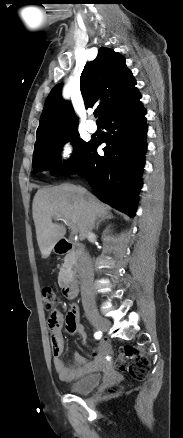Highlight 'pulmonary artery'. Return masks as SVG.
Listing matches in <instances>:
<instances>
[{
	"instance_id": "obj_1",
	"label": "pulmonary artery",
	"mask_w": 183,
	"mask_h": 438,
	"mask_svg": "<svg viewBox=\"0 0 183 438\" xmlns=\"http://www.w3.org/2000/svg\"><path fill=\"white\" fill-rule=\"evenodd\" d=\"M86 129L89 132L94 133L97 130V125L95 124V122L90 120L86 123Z\"/></svg>"
}]
</instances>
